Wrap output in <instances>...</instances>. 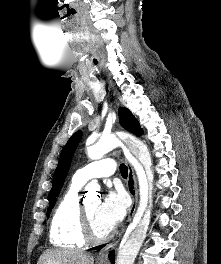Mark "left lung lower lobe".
<instances>
[{
  "label": "left lung lower lobe",
  "instance_id": "0a47b994",
  "mask_svg": "<svg viewBox=\"0 0 221 264\" xmlns=\"http://www.w3.org/2000/svg\"><path fill=\"white\" fill-rule=\"evenodd\" d=\"M102 247H103V245L102 246H97L94 249L99 250ZM114 255H115L114 254V251H112V252L109 253V258H110L111 264H114L115 263Z\"/></svg>",
  "mask_w": 221,
  "mask_h": 264
}]
</instances>
